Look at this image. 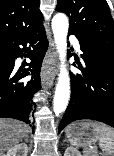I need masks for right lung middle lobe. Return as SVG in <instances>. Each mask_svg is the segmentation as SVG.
I'll return each instance as SVG.
<instances>
[{"label":"right lung middle lobe","mask_w":114,"mask_h":156,"mask_svg":"<svg viewBox=\"0 0 114 156\" xmlns=\"http://www.w3.org/2000/svg\"><path fill=\"white\" fill-rule=\"evenodd\" d=\"M7 58V55L3 52L2 47H0V61Z\"/></svg>","instance_id":"obj_1"}]
</instances>
